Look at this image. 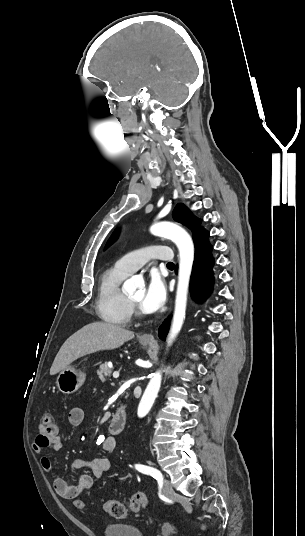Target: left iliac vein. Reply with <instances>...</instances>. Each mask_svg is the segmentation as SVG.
Listing matches in <instances>:
<instances>
[{"instance_id": "4c4485c4", "label": "left iliac vein", "mask_w": 305, "mask_h": 536, "mask_svg": "<svg viewBox=\"0 0 305 536\" xmlns=\"http://www.w3.org/2000/svg\"><path fill=\"white\" fill-rule=\"evenodd\" d=\"M163 494L170 496L171 494H174V490L171 486V483L168 479H163Z\"/></svg>"}]
</instances>
